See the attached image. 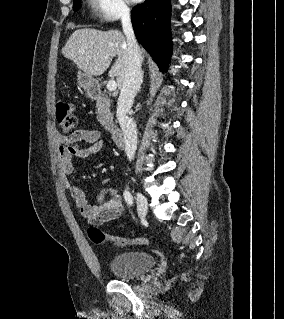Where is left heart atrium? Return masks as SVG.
I'll return each mask as SVG.
<instances>
[{
  "label": "left heart atrium",
  "instance_id": "obj_1",
  "mask_svg": "<svg viewBox=\"0 0 284 319\" xmlns=\"http://www.w3.org/2000/svg\"><path fill=\"white\" fill-rule=\"evenodd\" d=\"M130 2H133V3H136V2H139L141 0H129Z\"/></svg>",
  "mask_w": 284,
  "mask_h": 319
}]
</instances>
